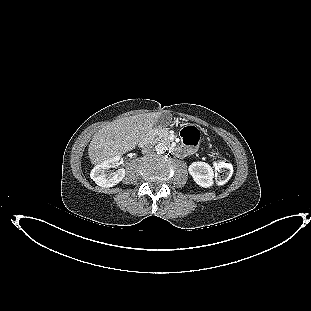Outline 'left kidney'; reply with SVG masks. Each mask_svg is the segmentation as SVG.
Here are the masks:
<instances>
[{"mask_svg": "<svg viewBox=\"0 0 311 311\" xmlns=\"http://www.w3.org/2000/svg\"><path fill=\"white\" fill-rule=\"evenodd\" d=\"M188 170L193 180L199 186L209 188L213 185L214 171L206 162H193L190 164Z\"/></svg>", "mask_w": 311, "mask_h": 311, "instance_id": "obj_1", "label": "left kidney"}]
</instances>
